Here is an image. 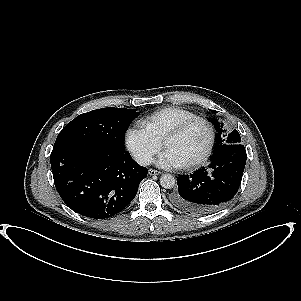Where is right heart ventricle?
<instances>
[{
  "mask_svg": "<svg viewBox=\"0 0 301 301\" xmlns=\"http://www.w3.org/2000/svg\"><path fill=\"white\" fill-rule=\"evenodd\" d=\"M195 116L191 111L177 107H168L148 116L142 123L150 135L161 141L169 130Z\"/></svg>",
  "mask_w": 301,
  "mask_h": 301,
  "instance_id": "1",
  "label": "right heart ventricle"
}]
</instances>
